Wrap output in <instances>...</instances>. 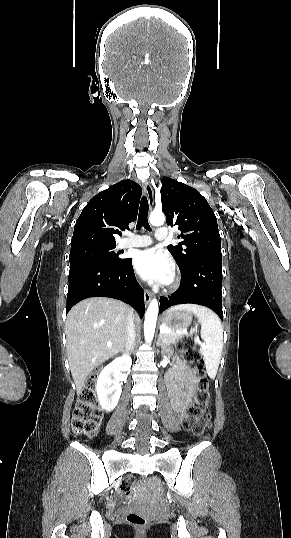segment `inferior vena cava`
<instances>
[{"label":"inferior vena cava","instance_id":"602c4592","mask_svg":"<svg viewBox=\"0 0 291 538\" xmlns=\"http://www.w3.org/2000/svg\"><path fill=\"white\" fill-rule=\"evenodd\" d=\"M135 337H136V334H135V326H134V316H133V311L131 310L129 318H128V323H127V336H126V343H125L126 350H131V348L134 346Z\"/></svg>","mask_w":291,"mask_h":538}]
</instances>
